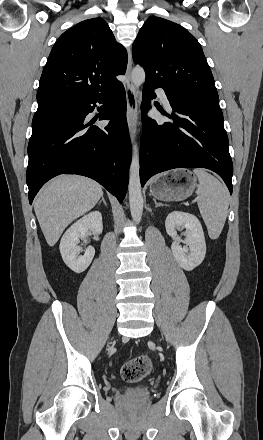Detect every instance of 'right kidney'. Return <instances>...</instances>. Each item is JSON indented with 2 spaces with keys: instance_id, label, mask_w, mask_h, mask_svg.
<instances>
[{
  "instance_id": "right-kidney-1",
  "label": "right kidney",
  "mask_w": 263,
  "mask_h": 440,
  "mask_svg": "<svg viewBox=\"0 0 263 440\" xmlns=\"http://www.w3.org/2000/svg\"><path fill=\"white\" fill-rule=\"evenodd\" d=\"M101 234L103 230L102 215L99 211H93L76 221L61 238L60 253L64 263L74 272L85 271L95 255V249L89 246L83 256H78L82 248L78 246L79 240L88 235V231Z\"/></svg>"
}]
</instances>
